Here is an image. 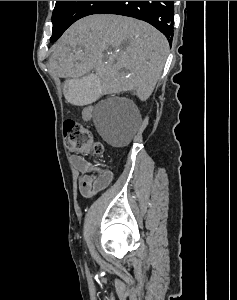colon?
I'll return each instance as SVG.
<instances>
[{
  "mask_svg": "<svg viewBox=\"0 0 237 300\" xmlns=\"http://www.w3.org/2000/svg\"><path fill=\"white\" fill-rule=\"evenodd\" d=\"M64 138L67 148L72 152L85 155L103 153L102 144L93 140L91 131L75 121L64 124Z\"/></svg>",
  "mask_w": 237,
  "mask_h": 300,
  "instance_id": "1",
  "label": "colon"
}]
</instances>
